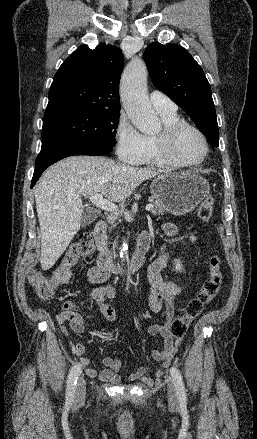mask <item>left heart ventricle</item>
Here are the masks:
<instances>
[{
  "instance_id": "1",
  "label": "left heart ventricle",
  "mask_w": 257,
  "mask_h": 439,
  "mask_svg": "<svg viewBox=\"0 0 257 439\" xmlns=\"http://www.w3.org/2000/svg\"><path fill=\"white\" fill-rule=\"evenodd\" d=\"M174 154L180 161L195 162L203 156L204 144L197 133L186 129L174 143Z\"/></svg>"
}]
</instances>
